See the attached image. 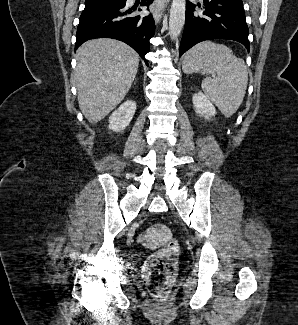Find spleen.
I'll return each mask as SVG.
<instances>
[{"mask_svg":"<svg viewBox=\"0 0 298 325\" xmlns=\"http://www.w3.org/2000/svg\"><path fill=\"white\" fill-rule=\"evenodd\" d=\"M182 68L186 74H214L203 78V92L226 118L238 110L245 96L248 72L243 58H237L231 48L211 40L198 42L186 52Z\"/></svg>","mask_w":298,"mask_h":325,"instance_id":"1","label":"spleen"}]
</instances>
